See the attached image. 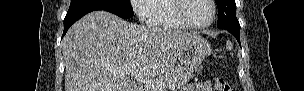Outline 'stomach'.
Listing matches in <instances>:
<instances>
[{"mask_svg": "<svg viewBox=\"0 0 304 91\" xmlns=\"http://www.w3.org/2000/svg\"><path fill=\"white\" fill-rule=\"evenodd\" d=\"M211 52L212 50L208 42L204 39H200L185 46L178 59L192 68H197Z\"/></svg>", "mask_w": 304, "mask_h": 91, "instance_id": "0dacf381", "label": "stomach"}]
</instances>
